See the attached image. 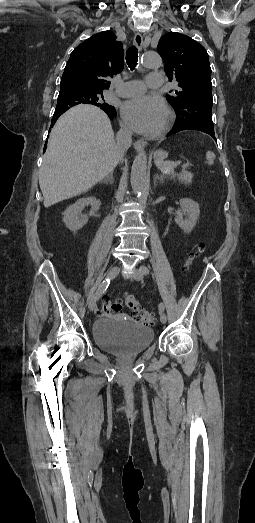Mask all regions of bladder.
<instances>
[{"label":"bladder","instance_id":"obj_1","mask_svg":"<svg viewBox=\"0 0 255 523\" xmlns=\"http://www.w3.org/2000/svg\"><path fill=\"white\" fill-rule=\"evenodd\" d=\"M153 337L152 327L108 316L97 320L92 329L97 346L116 354L141 352L152 345Z\"/></svg>","mask_w":255,"mask_h":523}]
</instances>
